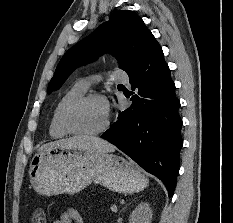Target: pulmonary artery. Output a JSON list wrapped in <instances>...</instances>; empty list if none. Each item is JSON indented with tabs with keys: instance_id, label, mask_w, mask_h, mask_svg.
<instances>
[{
	"instance_id": "pulmonary-artery-1",
	"label": "pulmonary artery",
	"mask_w": 233,
	"mask_h": 223,
	"mask_svg": "<svg viewBox=\"0 0 233 223\" xmlns=\"http://www.w3.org/2000/svg\"><path fill=\"white\" fill-rule=\"evenodd\" d=\"M109 75H113V79H122V82L128 83L129 74H127L126 70H109ZM98 77L99 75H92L88 78L81 79L79 82L84 88L87 89Z\"/></svg>"
}]
</instances>
